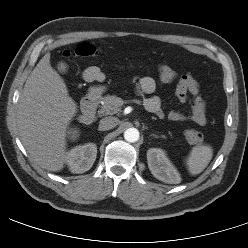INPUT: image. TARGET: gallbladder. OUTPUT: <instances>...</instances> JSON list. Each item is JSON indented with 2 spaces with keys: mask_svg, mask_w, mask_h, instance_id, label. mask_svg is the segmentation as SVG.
<instances>
[{
  "mask_svg": "<svg viewBox=\"0 0 248 248\" xmlns=\"http://www.w3.org/2000/svg\"><path fill=\"white\" fill-rule=\"evenodd\" d=\"M57 69L60 73L65 74L68 71V65L63 61H60L57 63Z\"/></svg>",
  "mask_w": 248,
  "mask_h": 248,
  "instance_id": "1",
  "label": "gallbladder"
}]
</instances>
